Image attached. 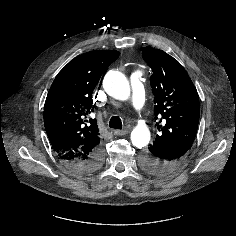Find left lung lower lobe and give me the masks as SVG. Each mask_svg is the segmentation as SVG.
I'll return each mask as SVG.
<instances>
[{
	"mask_svg": "<svg viewBox=\"0 0 236 236\" xmlns=\"http://www.w3.org/2000/svg\"><path fill=\"white\" fill-rule=\"evenodd\" d=\"M141 160L143 169L151 175L163 176L176 169L188 150L183 148L150 147Z\"/></svg>",
	"mask_w": 236,
	"mask_h": 236,
	"instance_id": "obj_1",
	"label": "left lung lower lobe"
}]
</instances>
